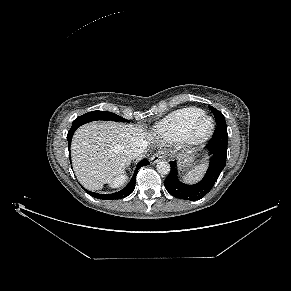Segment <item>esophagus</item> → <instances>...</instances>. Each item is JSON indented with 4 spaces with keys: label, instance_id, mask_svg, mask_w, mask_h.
Wrapping results in <instances>:
<instances>
[{
    "label": "esophagus",
    "instance_id": "obj_1",
    "mask_svg": "<svg viewBox=\"0 0 291 291\" xmlns=\"http://www.w3.org/2000/svg\"><path fill=\"white\" fill-rule=\"evenodd\" d=\"M166 154L163 151H158L150 158L151 164H156L159 160L164 159Z\"/></svg>",
    "mask_w": 291,
    "mask_h": 291
}]
</instances>
